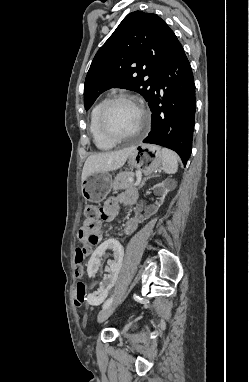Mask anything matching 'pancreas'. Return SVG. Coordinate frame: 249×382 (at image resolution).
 Here are the masks:
<instances>
[{"mask_svg":"<svg viewBox=\"0 0 249 382\" xmlns=\"http://www.w3.org/2000/svg\"><path fill=\"white\" fill-rule=\"evenodd\" d=\"M133 177L134 173L131 171H124L118 173L112 184L113 190L128 189L134 191L135 188L133 187V182L129 181V178Z\"/></svg>","mask_w":249,"mask_h":382,"instance_id":"pancreas-1","label":"pancreas"}]
</instances>
